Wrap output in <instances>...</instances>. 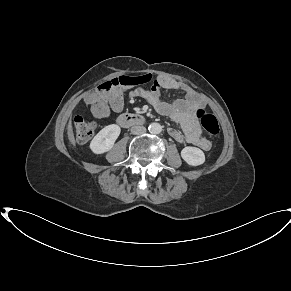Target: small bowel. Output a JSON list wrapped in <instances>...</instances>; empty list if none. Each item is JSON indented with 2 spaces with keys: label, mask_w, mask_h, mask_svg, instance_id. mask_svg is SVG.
<instances>
[{
  "label": "small bowel",
  "mask_w": 291,
  "mask_h": 291,
  "mask_svg": "<svg viewBox=\"0 0 291 291\" xmlns=\"http://www.w3.org/2000/svg\"><path fill=\"white\" fill-rule=\"evenodd\" d=\"M142 78L146 81L150 80L149 75H144ZM161 89L183 91L185 97L166 102L161 98ZM136 97L144 98L159 114L168 116L179 124L182 132L174 128L169 129V134L174 140L193 144L204 151L211 148V142L203 136L194 117L198 109L205 107V102L185 83L171 77L158 75L150 89L136 88L131 90L129 98ZM84 101L90 106L92 114L99 119L107 117L110 110L121 112L125 105L121 88L103 94H99L97 91L89 92L84 97Z\"/></svg>",
  "instance_id": "c3829d8e"
}]
</instances>
